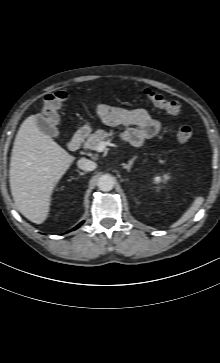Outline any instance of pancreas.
Returning a JSON list of instances; mask_svg holds the SVG:
<instances>
[{"label": "pancreas", "instance_id": "1", "mask_svg": "<svg viewBox=\"0 0 220 363\" xmlns=\"http://www.w3.org/2000/svg\"><path fill=\"white\" fill-rule=\"evenodd\" d=\"M114 134V130H110V132H105L104 130H97L88 137L87 141L84 143V148L96 150V147L100 142L107 140L108 137L113 136Z\"/></svg>", "mask_w": 220, "mask_h": 363}]
</instances>
